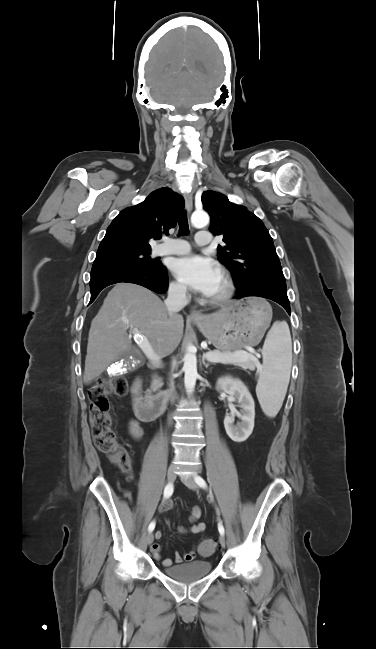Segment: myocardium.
<instances>
[{"label": "myocardium", "instance_id": "obj_1", "mask_svg": "<svg viewBox=\"0 0 376 649\" xmlns=\"http://www.w3.org/2000/svg\"><path fill=\"white\" fill-rule=\"evenodd\" d=\"M220 274L224 283V289L219 295L208 297L207 301L211 305H222L229 301L234 294L235 287L229 273L226 270H221Z\"/></svg>", "mask_w": 376, "mask_h": 649}]
</instances>
